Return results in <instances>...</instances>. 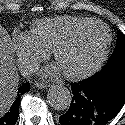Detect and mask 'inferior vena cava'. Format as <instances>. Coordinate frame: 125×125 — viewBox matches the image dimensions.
<instances>
[{
  "label": "inferior vena cava",
  "instance_id": "inferior-vena-cava-1",
  "mask_svg": "<svg viewBox=\"0 0 125 125\" xmlns=\"http://www.w3.org/2000/svg\"><path fill=\"white\" fill-rule=\"evenodd\" d=\"M36 67L35 66H32V65H29L26 69V74H30V73H33L36 71Z\"/></svg>",
  "mask_w": 125,
  "mask_h": 125
}]
</instances>
